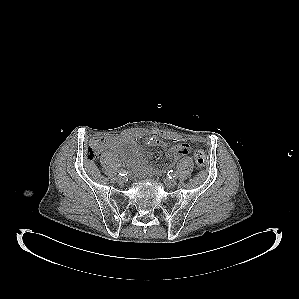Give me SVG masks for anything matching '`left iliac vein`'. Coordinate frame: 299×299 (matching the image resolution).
Returning a JSON list of instances; mask_svg holds the SVG:
<instances>
[{
    "instance_id": "1",
    "label": "left iliac vein",
    "mask_w": 299,
    "mask_h": 299,
    "mask_svg": "<svg viewBox=\"0 0 299 299\" xmlns=\"http://www.w3.org/2000/svg\"><path fill=\"white\" fill-rule=\"evenodd\" d=\"M165 185L169 188H173L176 186L177 182L175 179H172V178H167L165 179L164 181Z\"/></svg>"
}]
</instances>
